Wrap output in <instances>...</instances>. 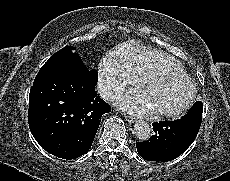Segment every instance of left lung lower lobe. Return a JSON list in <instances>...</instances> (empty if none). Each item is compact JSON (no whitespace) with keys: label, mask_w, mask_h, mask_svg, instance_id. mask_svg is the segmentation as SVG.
<instances>
[{"label":"left lung lower lobe","mask_w":230,"mask_h":181,"mask_svg":"<svg viewBox=\"0 0 230 181\" xmlns=\"http://www.w3.org/2000/svg\"><path fill=\"white\" fill-rule=\"evenodd\" d=\"M202 112L203 103L197 101L181 119L153 123L155 134L145 142H136L140 156L156 162H167L180 156L195 140Z\"/></svg>","instance_id":"0a47b994"}]
</instances>
